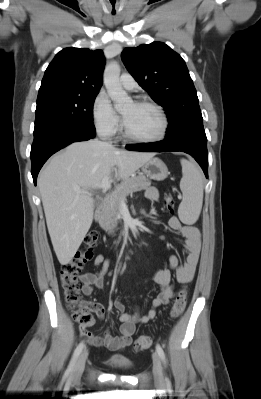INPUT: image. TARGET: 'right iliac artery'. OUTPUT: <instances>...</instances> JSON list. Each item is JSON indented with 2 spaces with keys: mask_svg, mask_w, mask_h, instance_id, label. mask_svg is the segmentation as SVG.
<instances>
[{
  "mask_svg": "<svg viewBox=\"0 0 261 399\" xmlns=\"http://www.w3.org/2000/svg\"><path fill=\"white\" fill-rule=\"evenodd\" d=\"M83 347H84V342H81V343L76 347V349H75V351H74V353H73L72 359H71V361H70V364H69V366H68L67 373H71V372H72L73 367H74V364H75V362H76V360H77L79 354L81 353Z\"/></svg>",
  "mask_w": 261,
  "mask_h": 399,
  "instance_id": "1",
  "label": "right iliac artery"
}]
</instances>
